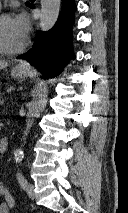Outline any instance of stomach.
Returning a JSON list of instances; mask_svg holds the SVG:
<instances>
[{"mask_svg": "<svg viewBox=\"0 0 128 213\" xmlns=\"http://www.w3.org/2000/svg\"><path fill=\"white\" fill-rule=\"evenodd\" d=\"M30 73V70L23 65H16L11 70V76L15 79H24Z\"/></svg>", "mask_w": 128, "mask_h": 213, "instance_id": "obj_1", "label": "stomach"}]
</instances>
